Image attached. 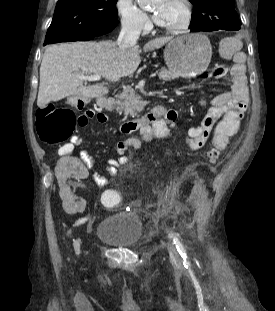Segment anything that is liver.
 <instances>
[{"label": "liver", "mask_w": 275, "mask_h": 311, "mask_svg": "<svg viewBox=\"0 0 275 311\" xmlns=\"http://www.w3.org/2000/svg\"><path fill=\"white\" fill-rule=\"evenodd\" d=\"M172 37H159L146 43L145 52L159 49L171 41ZM141 50L133 45L120 48L111 41H85L47 47L41 67L37 105L44 108L51 101H59L73 94L90 101L108 94L103 85L83 86L78 76L100 75L108 81L116 82L132 75L140 64Z\"/></svg>", "instance_id": "6515ba94"}]
</instances>
